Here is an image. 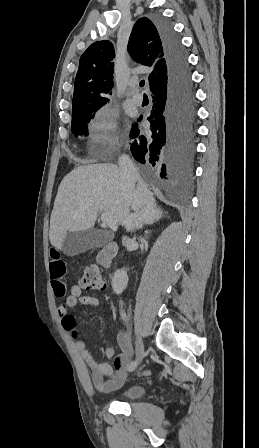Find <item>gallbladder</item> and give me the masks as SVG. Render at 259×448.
I'll use <instances>...</instances> for the list:
<instances>
[{"instance_id":"1","label":"gallbladder","mask_w":259,"mask_h":448,"mask_svg":"<svg viewBox=\"0 0 259 448\" xmlns=\"http://www.w3.org/2000/svg\"><path fill=\"white\" fill-rule=\"evenodd\" d=\"M113 236L107 230H86V232H67L63 250L68 256H77L90 248H103Z\"/></svg>"}]
</instances>
